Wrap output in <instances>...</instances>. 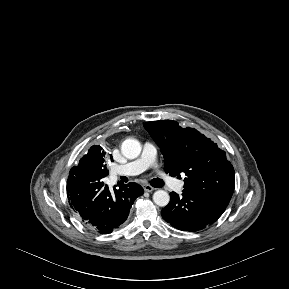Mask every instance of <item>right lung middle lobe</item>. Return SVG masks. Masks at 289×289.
Here are the masks:
<instances>
[{
    "label": "right lung middle lobe",
    "mask_w": 289,
    "mask_h": 289,
    "mask_svg": "<svg viewBox=\"0 0 289 289\" xmlns=\"http://www.w3.org/2000/svg\"><path fill=\"white\" fill-rule=\"evenodd\" d=\"M92 171L95 173L96 176L100 178L106 177L108 172L105 160L103 158H99L95 163V166L92 168Z\"/></svg>",
    "instance_id": "right-lung-middle-lobe-1"
}]
</instances>
